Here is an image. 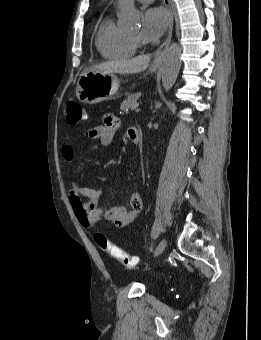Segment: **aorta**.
I'll return each mask as SVG.
<instances>
[{"label":"aorta","mask_w":261,"mask_h":340,"mask_svg":"<svg viewBox=\"0 0 261 340\" xmlns=\"http://www.w3.org/2000/svg\"><path fill=\"white\" fill-rule=\"evenodd\" d=\"M119 21L127 27L137 26L140 22L139 12L134 6V0H119ZM181 67V47L178 43H172L165 54L161 70L162 86L169 91L174 85Z\"/></svg>","instance_id":"1"}]
</instances>
